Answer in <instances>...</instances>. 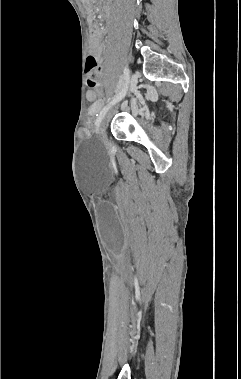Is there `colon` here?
I'll return each instance as SVG.
<instances>
[{"mask_svg":"<svg viewBox=\"0 0 241 379\" xmlns=\"http://www.w3.org/2000/svg\"><path fill=\"white\" fill-rule=\"evenodd\" d=\"M93 30V29H92ZM129 63H136L137 56L135 53H130L128 56ZM85 72L87 76V86L89 88H94L96 86L97 80L99 78V67L96 59L93 56H88L86 60ZM107 89L105 87H99L98 93L105 94Z\"/></svg>","mask_w":241,"mask_h":379,"instance_id":"colon-1","label":"colon"}]
</instances>
